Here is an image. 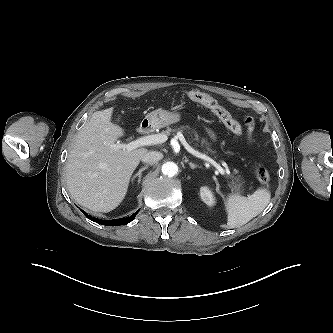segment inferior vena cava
Returning <instances> with one entry per match:
<instances>
[{
    "label": "inferior vena cava",
    "instance_id": "602c4592",
    "mask_svg": "<svg viewBox=\"0 0 333 333\" xmlns=\"http://www.w3.org/2000/svg\"><path fill=\"white\" fill-rule=\"evenodd\" d=\"M163 158V154L157 151H150L141 157V161L147 164H155Z\"/></svg>",
    "mask_w": 333,
    "mask_h": 333
}]
</instances>
